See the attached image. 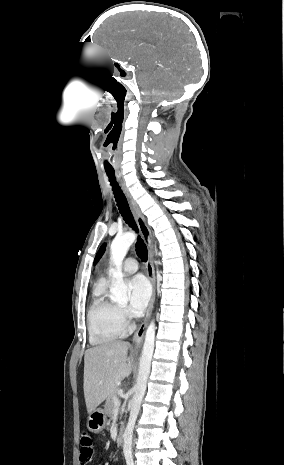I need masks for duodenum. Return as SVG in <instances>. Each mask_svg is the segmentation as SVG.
Instances as JSON below:
<instances>
[{
	"label": "duodenum",
	"instance_id": "1",
	"mask_svg": "<svg viewBox=\"0 0 284 465\" xmlns=\"http://www.w3.org/2000/svg\"><path fill=\"white\" fill-rule=\"evenodd\" d=\"M124 436H125V428L121 427L117 429V433H116L117 441L122 442L124 440Z\"/></svg>",
	"mask_w": 284,
	"mask_h": 465
}]
</instances>
